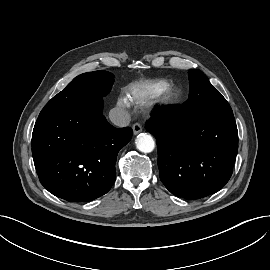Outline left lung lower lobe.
<instances>
[{
	"instance_id": "0a47b994",
	"label": "left lung lower lobe",
	"mask_w": 270,
	"mask_h": 270,
	"mask_svg": "<svg viewBox=\"0 0 270 270\" xmlns=\"http://www.w3.org/2000/svg\"><path fill=\"white\" fill-rule=\"evenodd\" d=\"M146 130L157 139L160 179L174 195L199 199L223 188L238 151L233 114L204 116L190 97L153 116Z\"/></svg>"
}]
</instances>
